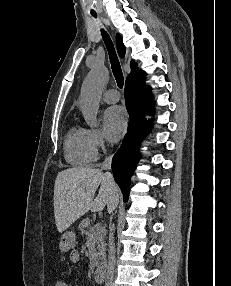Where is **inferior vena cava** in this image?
<instances>
[{"label": "inferior vena cava", "instance_id": "inferior-vena-cava-1", "mask_svg": "<svg viewBox=\"0 0 231 286\" xmlns=\"http://www.w3.org/2000/svg\"><path fill=\"white\" fill-rule=\"evenodd\" d=\"M112 155L107 157L103 164L102 169L103 170H110L111 169V163H112ZM111 181H114L113 175L110 172H106L105 174ZM108 212L111 213L112 210L108 209ZM115 243H114V237L113 234L110 235L109 239V248H108V265H107V272H106V282L105 286H113V279H114V272H115Z\"/></svg>", "mask_w": 231, "mask_h": 286}]
</instances>
